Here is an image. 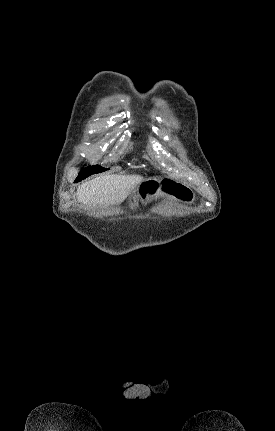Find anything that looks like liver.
I'll return each instance as SVG.
<instances>
[{"mask_svg":"<svg viewBox=\"0 0 275 431\" xmlns=\"http://www.w3.org/2000/svg\"><path fill=\"white\" fill-rule=\"evenodd\" d=\"M143 180L140 175L111 174L96 177L77 189V198L83 205L109 206L119 204Z\"/></svg>","mask_w":275,"mask_h":431,"instance_id":"1","label":"liver"}]
</instances>
